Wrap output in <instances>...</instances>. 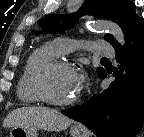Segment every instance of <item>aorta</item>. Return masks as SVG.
I'll list each match as a JSON object with an SVG mask.
<instances>
[{
	"label": "aorta",
	"instance_id": "aorta-1",
	"mask_svg": "<svg viewBox=\"0 0 144 137\" xmlns=\"http://www.w3.org/2000/svg\"><path fill=\"white\" fill-rule=\"evenodd\" d=\"M89 28L96 31L109 32L121 46H124L125 39L122 29L114 22L111 21H97L89 24Z\"/></svg>",
	"mask_w": 144,
	"mask_h": 137
}]
</instances>
